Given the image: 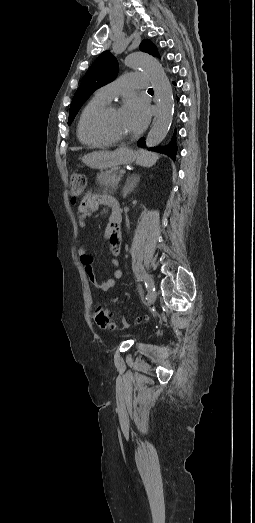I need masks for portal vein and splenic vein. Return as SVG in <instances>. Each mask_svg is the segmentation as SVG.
I'll use <instances>...</instances> for the list:
<instances>
[{
    "label": "portal vein and splenic vein",
    "instance_id": "portal-vein-and-splenic-vein-1",
    "mask_svg": "<svg viewBox=\"0 0 255 523\" xmlns=\"http://www.w3.org/2000/svg\"><path fill=\"white\" fill-rule=\"evenodd\" d=\"M119 175H127V170H119Z\"/></svg>",
    "mask_w": 255,
    "mask_h": 523
}]
</instances>
